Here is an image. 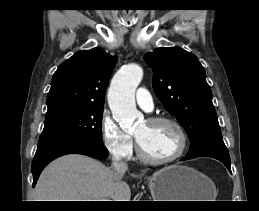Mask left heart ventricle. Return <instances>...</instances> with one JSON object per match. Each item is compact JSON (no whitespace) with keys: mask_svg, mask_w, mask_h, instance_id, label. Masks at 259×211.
Masks as SVG:
<instances>
[{"mask_svg":"<svg viewBox=\"0 0 259 211\" xmlns=\"http://www.w3.org/2000/svg\"><path fill=\"white\" fill-rule=\"evenodd\" d=\"M134 134L144 152L150 157H168L178 148L177 132L169 124H150L144 121Z\"/></svg>","mask_w":259,"mask_h":211,"instance_id":"obj_1","label":"left heart ventricle"}]
</instances>
